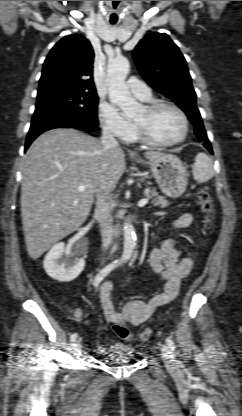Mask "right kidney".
Instances as JSON below:
<instances>
[{
    "label": "right kidney",
    "mask_w": 242,
    "mask_h": 416,
    "mask_svg": "<svg viewBox=\"0 0 242 416\" xmlns=\"http://www.w3.org/2000/svg\"><path fill=\"white\" fill-rule=\"evenodd\" d=\"M64 252L65 244L63 242L55 244L47 253L43 266L51 278L60 282H69L83 271L85 260L84 258H75L77 255L76 245H72L65 259L61 260Z\"/></svg>",
    "instance_id": "right-kidney-1"
}]
</instances>
